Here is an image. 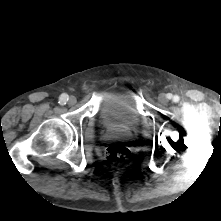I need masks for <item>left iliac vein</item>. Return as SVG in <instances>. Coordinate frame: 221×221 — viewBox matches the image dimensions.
Segmentation results:
<instances>
[{"label":"left iliac vein","mask_w":221,"mask_h":221,"mask_svg":"<svg viewBox=\"0 0 221 221\" xmlns=\"http://www.w3.org/2000/svg\"><path fill=\"white\" fill-rule=\"evenodd\" d=\"M158 100L160 103L162 104H167L168 103V98L167 96L164 94V93H161L159 96H158Z\"/></svg>","instance_id":"obj_1"}]
</instances>
